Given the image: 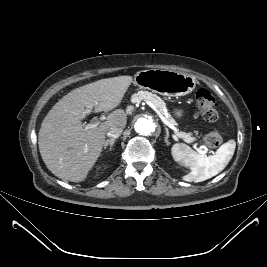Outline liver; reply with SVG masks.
Masks as SVG:
<instances>
[{
    "label": "liver",
    "mask_w": 267,
    "mask_h": 267,
    "mask_svg": "<svg viewBox=\"0 0 267 267\" xmlns=\"http://www.w3.org/2000/svg\"><path fill=\"white\" fill-rule=\"evenodd\" d=\"M132 76L101 79L81 86L61 98L45 116L38 134L41 157L47 168L66 181H84L100 157L110 127L124 128L127 116L114 111L99 126L85 130L86 111H111L118 107Z\"/></svg>",
    "instance_id": "liver-1"
}]
</instances>
